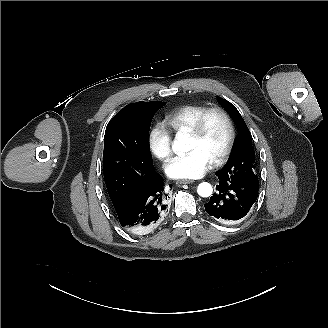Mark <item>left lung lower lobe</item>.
<instances>
[{
    "instance_id": "0a47b994",
    "label": "left lung lower lobe",
    "mask_w": 328,
    "mask_h": 328,
    "mask_svg": "<svg viewBox=\"0 0 328 328\" xmlns=\"http://www.w3.org/2000/svg\"><path fill=\"white\" fill-rule=\"evenodd\" d=\"M219 178L218 190L204 204L206 212L220 223H229L243 218L256 202L259 190L258 180L226 177Z\"/></svg>"
}]
</instances>
